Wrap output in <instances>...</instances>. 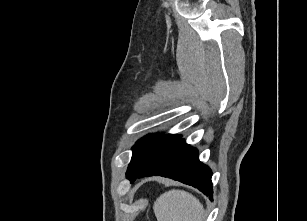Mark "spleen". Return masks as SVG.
Masks as SVG:
<instances>
[{"instance_id": "3e777b00", "label": "spleen", "mask_w": 307, "mask_h": 221, "mask_svg": "<svg viewBox=\"0 0 307 221\" xmlns=\"http://www.w3.org/2000/svg\"><path fill=\"white\" fill-rule=\"evenodd\" d=\"M153 211L157 221H202L204 208L192 194L170 190L156 199Z\"/></svg>"}]
</instances>
